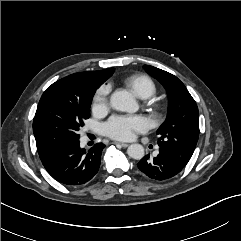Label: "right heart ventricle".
I'll return each mask as SVG.
<instances>
[{"label":"right heart ventricle","instance_id":"1","mask_svg":"<svg viewBox=\"0 0 241 241\" xmlns=\"http://www.w3.org/2000/svg\"><path fill=\"white\" fill-rule=\"evenodd\" d=\"M124 83L129 90L142 99L150 98L156 93V84L147 75H131L125 79Z\"/></svg>","mask_w":241,"mask_h":241}]
</instances>
